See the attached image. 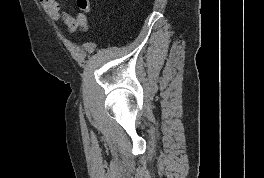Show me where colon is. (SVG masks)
I'll return each instance as SVG.
<instances>
[{"label":"colon","mask_w":264,"mask_h":178,"mask_svg":"<svg viewBox=\"0 0 264 178\" xmlns=\"http://www.w3.org/2000/svg\"><path fill=\"white\" fill-rule=\"evenodd\" d=\"M77 7L82 14L87 16L91 10V1L90 0H77Z\"/></svg>","instance_id":"colon-1"}]
</instances>
